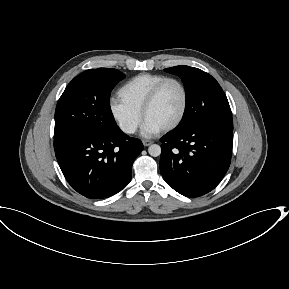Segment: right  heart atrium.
Instances as JSON below:
<instances>
[{
  "label": "right heart atrium",
  "mask_w": 289,
  "mask_h": 289,
  "mask_svg": "<svg viewBox=\"0 0 289 289\" xmlns=\"http://www.w3.org/2000/svg\"><path fill=\"white\" fill-rule=\"evenodd\" d=\"M109 109L113 119L124 133L133 134L137 130L141 122L140 112L116 99L110 101Z\"/></svg>",
  "instance_id": "1"
}]
</instances>
